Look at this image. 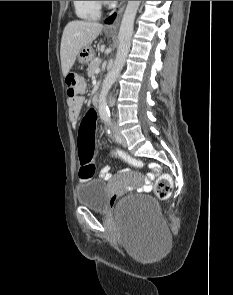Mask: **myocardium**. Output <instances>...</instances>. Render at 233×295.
I'll list each match as a JSON object with an SVG mask.
<instances>
[{"instance_id":"myocardium-1","label":"myocardium","mask_w":233,"mask_h":295,"mask_svg":"<svg viewBox=\"0 0 233 295\" xmlns=\"http://www.w3.org/2000/svg\"><path fill=\"white\" fill-rule=\"evenodd\" d=\"M98 3L100 6L108 7L110 4V1H98Z\"/></svg>"}]
</instances>
